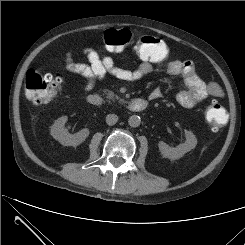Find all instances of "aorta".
I'll list each match as a JSON object with an SVG mask.
<instances>
[{
  "label": "aorta",
  "mask_w": 245,
  "mask_h": 245,
  "mask_svg": "<svg viewBox=\"0 0 245 245\" xmlns=\"http://www.w3.org/2000/svg\"><path fill=\"white\" fill-rule=\"evenodd\" d=\"M140 123H141V119L138 115H132L128 119V124L131 127H138L140 125Z\"/></svg>",
  "instance_id": "1"
}]
</instances>
